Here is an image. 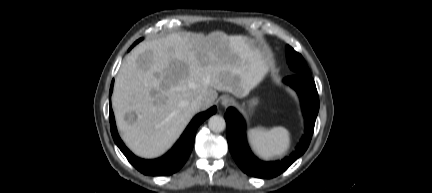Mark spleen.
Instances as JSON below:
<instances>
[{
	"label": "spleen",
	"instance_id": "1",
	"mask_svg": "<svg viewBox=\"0 0 432 193\" xmlns=\"http://www.w3.org/2000/svg\"><path fill=\"white\" fill-rule=\"evenodd\" d=\"M248 140L254 153L264 160L282 157L290 148V133L281 126L251 129L248 131Z\"/></svg>",
	"mask_w": 432,
	"mask_h": 193
}]
</instances>
